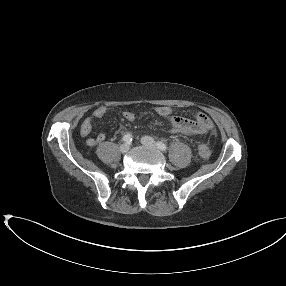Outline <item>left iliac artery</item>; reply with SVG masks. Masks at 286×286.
Here are the masks:
<instances>
[{"label":"left iliac artery","instance_id":"left-iliac-artery-1","mask_svg":"<svg viewBox=\"0 0 286 286\" xmlns=\"http://www.w3.org/2000/svg\"><path fill=\"white\" fill-rule=\"evenodd\" d=\"M156 145H157V147H158L160 150H162V151H166L167 148H168L166 144H164L163 142H160V141H158V142L156 143Z\"/></svg>","mask_w":286,"mask_h":286}]
</instances>
